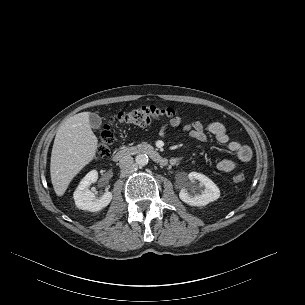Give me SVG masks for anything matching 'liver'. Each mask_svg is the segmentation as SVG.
Segmentation results:
<instances>
[{
	"instance_id": "6515ba94",
	"label": "liver",
	"mask_w": 305,
	"mask_h": 305,
	"mask_svg": "<svg viewBox=\"0 0 305 305\" xmlns=\"http://www.w3.org/2000/svg\"><path fill=\"white\" fill-rule=\"evenodd\" d=\"M89 112L67 119L58 129L51 153L50 175L57 196H63L71 180L96 155L98 140L89 121Z\"/></svg>"
}]
</instances>
